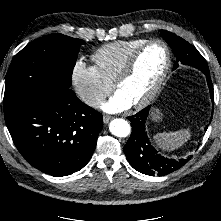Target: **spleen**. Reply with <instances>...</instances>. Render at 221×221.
Returning a JSON list of instances; mask_svg holds the SVG:
<instances>
[{"instance_id": "1", "label": "spleen", "mask_w": 221, "mask_h": 221, "mask_svg": "<svg viewBox=\"0 0 221 221\" xmlns=\"http://www.w3.org/2000/svg\"><path fill=\"white\" fill-rule=\"evenodd\" d=\"M191 137L189 129H182L176 132H163L154 136L158 145L167 150L181 147Z\"/></svg>"}]
</instances>
